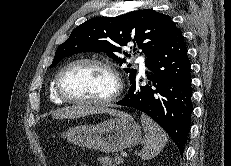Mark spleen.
<instances>
[{
    "label": "spleen",
    "instance_id": "3e777b00",
    "mask_svg": "<svg viewBox=\"0 0 231 166\" xmlns=\"http://www.w3.org/2000/svg\"><path fill=\"white\" fill-rule=\"evenodd\" d=\"M141 123L146 135L144 147L141 152L143 160L157 156L168 142V136L149 116L142 114Z\"/></svg>",
    "mask_w": 231,
    "mask_h": 166
}]
</instances>
